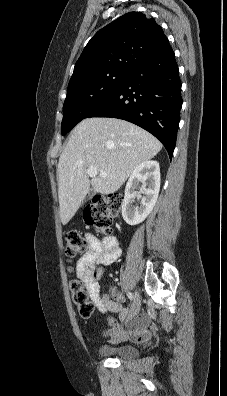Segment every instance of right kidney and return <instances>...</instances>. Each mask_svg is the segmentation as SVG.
<instances>
[{
	"label": "right kidney",
	"mask_w": 227,
	"mask_h": 396,
	"mask_svg": "<svg viewBox=\"0 0 227 396\" xmlns=\"http://www.w3.org/2000/svg\"><path fill=\"white\" fill-rule=\"evenodd\" d=\"M140 183L144 196L140 206L133 205L135 198H141L136 191ZM160 190V167L157 161H145L137 166L126 184L125 197L122 203V216L129 225H137L145 220L152 211Z\"/></svg>",
	"instance_id": "ca27d5eb"
}]
</instances>
